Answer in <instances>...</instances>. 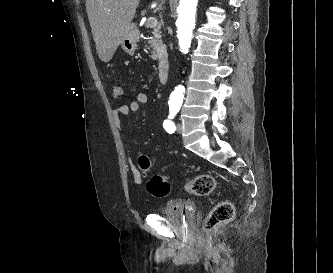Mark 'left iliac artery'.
Here are the masks:
<instances>
[{
	"label": "left iliac artery",
	"instance_id": "obj_1",
	"mask_svg": "<svg viewBox=\"0 0 333 273\" xmlns=\"http://www.w3.org/2000/svg\"><path fill=\"white\" fill-rule=\"evenodd\" d=\"M176 113H177V110L170 109L168 119H166L163 122V127L169 134L174 133L176 130L175 124L172 121V119L175 117Z\"/></svg>",
	"mask_w": 333,
	"mask_h": 273
}]
</instances>
